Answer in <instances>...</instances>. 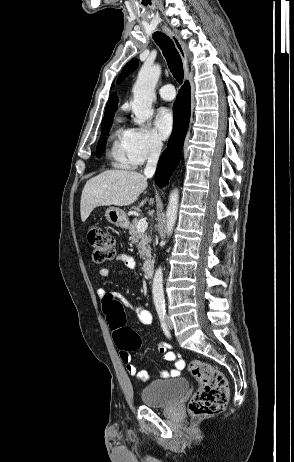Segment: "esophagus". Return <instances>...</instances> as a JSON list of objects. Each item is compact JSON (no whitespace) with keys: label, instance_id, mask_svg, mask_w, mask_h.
I'll return each mask as SVG.
<instances>
[{"label":"esophagus","instance_id":"obj_1","mask_svg":"<svg viewBox=\"0 0 294 462\" xmlns=\"http://www.w3.org/2000/svg\"><path fill=\"white\" fill-rule=\"evenodd\" d=\"M163 30L171 38L177 51L179 52V55L183 63L184 74H185V77H187L189 73V68H188V59H187L188 54H187L186 45L181 41V39L177 35H175L167 27H164Z\"/></svg>","mask_w":294,"mask_h":462}]
</instances>
